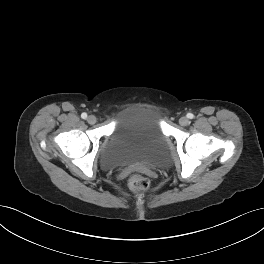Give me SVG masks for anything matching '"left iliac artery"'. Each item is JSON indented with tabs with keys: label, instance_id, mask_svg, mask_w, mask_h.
I'll return each instance as SVG.
<instances>
[{
	"label": "left iliac artery",
	"instance_id": "1",
	"mask_svg": "<svg viewBox=\"0 0 264 264\" xmlns=\"http://www.w3.org/2000/svg\"><path fill=\"white\" fill-rule=\"evenodd\" d=\"M188 118L193 119L194 118V115L192 113H189L188 114Z\"/></svg>",
	"mask_w": 264,
	"mask_h": 264
}]
</instances>
